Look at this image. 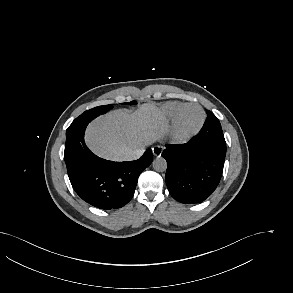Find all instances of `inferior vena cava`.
Segmentation results:
<instances>
[{
	"label": "inferior vena cava",
	"mask_w": 293,
	"mask_h": 293,
	"mask_svg": "<svg viewBox=\"0 0 293 293\" xmlns=\"http://www.w3.org/2000/svg\"><path fill=\"white\" fill-rule=\"evenodd\" d=\"M143 153H144L143 148L130 150L126 153L125 159L126 160H136V159L140 158L143 155Z\"/></svg>",
	"instance_id": "inferior-vena-cava-1"
}]
</instances>
